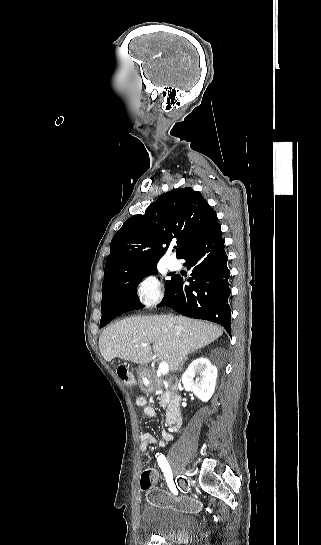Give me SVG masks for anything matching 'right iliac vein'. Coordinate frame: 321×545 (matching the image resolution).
Instances as JSON below:
<instances>
[{
	"mask_svg": "<svg viewBox=\"0 0 321 545\" xmlns=\"http://www.w3.org/2000/svg\"><path fill=\"white\" fill-rule=\"evenodd\" d=\"M178 469H179L178 473H180V474L182 475V477H185V472H184V470L181 469V468H178Z\"/></svg>",
	"mask_w": 321,
	"mask_h": 545,
	"instance_id": "63e3f726",
	"label": "right iliac vein"
}]
</instances>
